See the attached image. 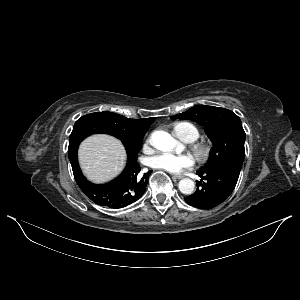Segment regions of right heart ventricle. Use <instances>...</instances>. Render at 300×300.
Listing matches in <instances>:
<instances>
[{
	"label": "right heart ventricle",
	"instance_id": "obj_1",
	"mask_svg": "<svg viewBox=\"0 0 300 300\" xmlns=\"http://www.w3.org/2000/svg\"><path fill=\"white\" fill-rule=\"evenodd\" d=\"M175 134L185 140V141H194L199 137L198 129L191 123L182 122L174 126Z\"/></svg>",
	"mask_w": 300,
	"mask_h": 300
}]
</instances>
